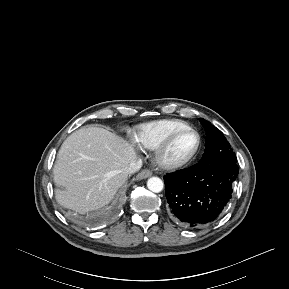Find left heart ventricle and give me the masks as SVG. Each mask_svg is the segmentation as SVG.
I'll list each match as a JSON object with an SVG mask.
<instances>
[{
	"instance_id": "1",
	"label": "left heart ventricle",
	"mask_w": 289,
	"mask_h": 289,
	"mask_svg": "<svg viewBox=\"0 0 289 289\" xmlns=\"http://www.w3.org/2000/svg\"><path fill=\"white\" fill-rule=\"evenodd\" d=\"M196 144V135L193 133H185L175 140L168 152V157L172 159L184 158L195 149Z\"/></svg>"
}]
</instances>
